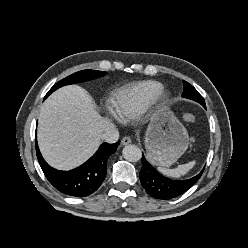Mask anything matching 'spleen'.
I'll use <instances>...</instances> for the list:
<instances>
[{
    "label": "spleen",
    "instance_id": "spleen-1",
    "mask_svg": "<svg viewBox=\"0 0 248 248\" xmlns=\"http://www.w3.org/2000/svg\"><path fill=\"white\" fill-rule=\"evenodd\" d=\"M195 161H191L189 163L183 164V165H179L178 167L174 168V169H166V168H161L159 167L158 170L168 176V177H172V178H179L180 176L185 175L189 170H191L193 168V166L195 165Z\"/></svg>",
    "mask_w": 248,
    "mask_h": 248
}]
</instances>
